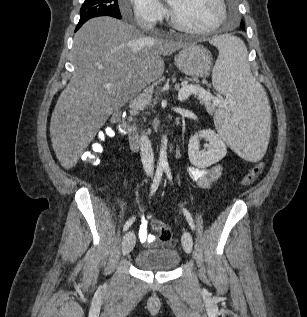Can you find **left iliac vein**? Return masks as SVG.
Returning a JSON list of instances; mask_svg holds the SVG:
<instances>
[{
  "mask_svg": "<svg viewBox=\"0 0 307 317\" xmlns=\"http://www.w3.org/2000/svg\"><path fill=\"white\" fill-rule=\"evenodd\" d=\"M182 245L184 250L187 253H191L192 251V247H193V239H192V235L189 232H184L183 236H182Z\"/></svg>",
  "mask_w": 307,
  "mask_h": 317,
  "instance_id": "left-iliac-vein-1",
  "label": "left iliac vein"
}]
</instances>
